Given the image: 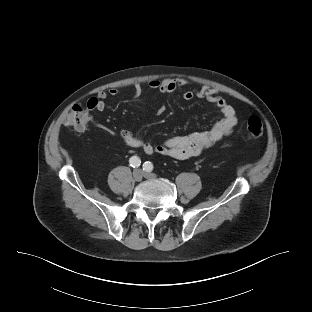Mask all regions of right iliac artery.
Listing matches in <instances>:
<instances>
[{
  "label": "right iliac artery",
  "mask_w": 312,
  "mask_h": 312,
  "mask_svg": "<svg viewBox=\"0 0 312 312\" xmlns=\"http://www.w3.org/2000/svg\"><path fill=\"white\" fill-rule=\"evenodd\" d=\"M129 163H130V166L132 167H139L140 164H141V160L139 157L137 156H132L130 159H129Z\"/></svg>",
  "instance_id": "82829eb1"
}]
</instances>
